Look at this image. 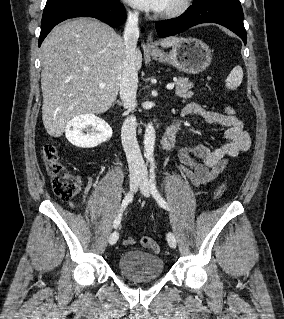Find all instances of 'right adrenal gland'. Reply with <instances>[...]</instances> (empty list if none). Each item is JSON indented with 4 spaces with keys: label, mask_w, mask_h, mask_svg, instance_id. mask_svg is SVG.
Returning a JSON list of instances; mask_svg holds the SVG:
<instances>
[{
    "label": "right adrenal gland",
    "mask_w": 284,
    "mask_h": 319,
    "mask_svg": "<svg viewBox=\"0 0 284 319\" xmlns=\"http://www.w3.org/2000/svg\"><path fill=\"white\" fill-rule=\"evenodd\" d=\"M115 103H117L119 106L122 105V103L119 100H117Z\"/></svg>",
    "instance_id": "1"
}]
</instances>
